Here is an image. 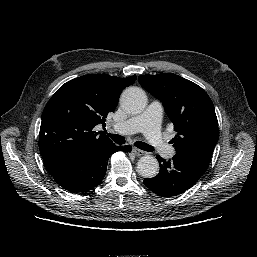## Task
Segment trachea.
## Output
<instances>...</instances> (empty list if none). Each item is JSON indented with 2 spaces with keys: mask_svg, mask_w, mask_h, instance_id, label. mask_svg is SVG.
Listing matches in <instances>:
<instances>
[{
  "mask_svg": "<svg viewBox=\"0 0 257 257\" xmlns=\"http://www.w3.org/2000/svg\"><path fill=\"white\" fill-rule=\"evenodd\" d=\"M108 136L117 144H124L125 143V138L123 136H121V135H118V134H108ZM135 145L138 148H140V149H142L144 151H148V152L153 151V148L150 145H148V144H146L144 142L138 141V142L135 143Z\"/></svg>",
  "mask_w": 257,
  "mask_h": 257,
  "instance_id": "3493384b",
  "label": "trachea"
}]
</instances>
